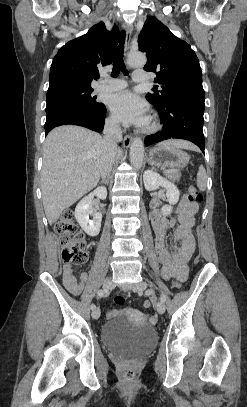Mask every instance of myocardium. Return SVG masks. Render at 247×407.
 <instances>
[{
	"label": "myocardium",
	"mask_w": 247,
	"mask_h": 407,
	"mask_svg": "<svg viewBox=\"0 0 247 407\" xmlns=\"http://www.w3.org/2000/svg\"><path fill=\"white\" fill-rule=\"evenodd\" d=\"M158 128H159V124L155 120L150 119L149 122L146 124V126L143 128V131L145 133H153V132L157 131Z\"/></svg>",
	"instance_id": "obj_1"
}]
</instances>
